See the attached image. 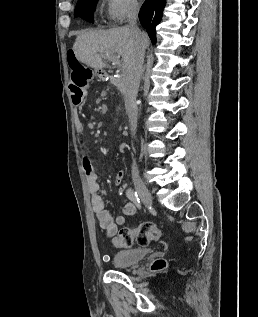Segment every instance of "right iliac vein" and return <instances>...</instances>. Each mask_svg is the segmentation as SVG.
<instances>
[{"mask_svg":"<svg viewBox=\"0 0 258 317\" xmlns=\"http://www.w3.org/2000/svg\"><path fill=\"white\" fill-rule=\"evenodd\" d=\"M135 188L138 192L139 197H141L142 203L146 209H151L153 207V202H152V194L149 192L148 187L144 185L142 180L136 179L134 181Z\"/></svg>","mask_w":258,"mask_h":317,"instance_id":"obj_1","label":"right iliac vein"}]
</instances>
